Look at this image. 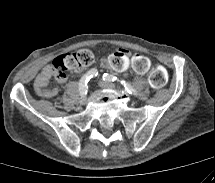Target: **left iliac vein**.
<instances>
[{"label": "left iliac vein", "instance_id": "obj_1", "mask_svg": "<svg viewBox=\"0 0 215 183\" xmlns=\"http://www.w3.org/2000/svg\"><path fill=\"white\" fill-rule=\"evenodd\" d=\"M99 86L105 89H112V90H118V87L110 82L107 81H99Z\"/></svg>", "mask_w": 215, "mask_h": 183}]
</instances>
